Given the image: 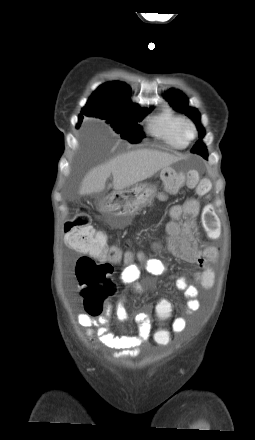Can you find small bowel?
I'll use <instances>...</instances> for the list:
<instances>
[{
  "label": "small bowel",
  "mask_w": 255,
  "mask_h": 440,
  "mask_svg": "<svg viewBox=\"0 0 255 440\" xmlns=\"http://www.w3.org/2000/svg\"><path fill=\"white\" fill-rule=\"evenodd\" d=\"M201 212V205L196 200H188L183 204L171 206L168 211L170 221L164 226V244L176 257L194 263L202 269L196 275V280L203 289L209 290L215 281V273L210 263L216 260L217 251L212 246L200 247L193 235V226ZM212 231L215 233L216 228L214 227ZM142 268L151 275H163L167 272L166 265L157 258L145 259L140 255L139 264L126 260L120 280L124 285L129 286L133 293L142 292V286L139 283ZM175 287L184 293L188 313H194L200 309V302L197 299L199 291L195 285L189 284L185 277H179L175 280ZM124 303L125 299L121 298L115 306V314L120 321L128 318ZM149 309L150 306H147L146 310L135 316L139 330L137 335H117L111 331L109 327V317L113 310L111 304L106 305L105 315L95 318L89 314H80L78 322L86 328L88 337L97 339L106 347L115 350L120 356L133 357L151 338ZM185 326V320L178 317L172 323V330L180 333Z\"/></svg>",
  "instance_id": "1"
}]
</instances>
